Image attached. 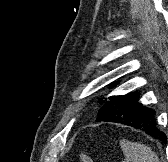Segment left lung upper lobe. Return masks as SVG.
I'll return each instance as SVG.
<instances>
[{
  "instance_id": "left-lung-upper-lobe-1",
  "label": "left lung upper lobe",
  "mask_w": 168,
  "mask_h": 162,
  "mask_svg": "<svg viewBox=\"0 0 168 162\" xmlns=\"http://www.w3.org/2000/svg\"><path fill=\"white\" fill-rule=\"evenodd\" d=\"M116 84H117V83H114V84H112V86H115ZM107 102H108L107 99H105V100L99 99V103H100V104H103V106H104ZM103 106H102V108L99 110L97 120L100 119V117L102 116L101 114H102Z\"/></svg>"
}]
</instances>
